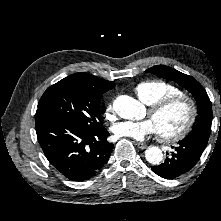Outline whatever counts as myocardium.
Here are the masks:
<instances>
[{
	"mask_svg": "<svg viewBox=\"0 0 221 221\" xmlns=\"http://www.w3.org/2000/svg\"><path fill=\"white\" fill-rule=\"evenodd\" d=\"M178 103L183 104L186 108V120L184 124L174 133L164 134L157 131L158 137L164 142L170 143V142L180 141L190 132V130L192 129L195 123L197 116L196 103L188 95L179 94V95L162 98L157 102H155L154 104L150 105L148 113L151 118H154L156 115H158L167 107Z\"/></svg>",
	"mask_w": 221,
	"mask_h": 221,
	"instance_id": "1",
	"label": "myocardium"
}]
</instances>
